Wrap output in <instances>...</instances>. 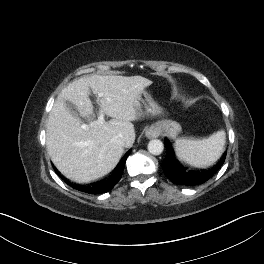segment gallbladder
<instances>
[{
    "label": "gallbladder",
    "instance_id": "bac80fb5",
    "mask_svg": "<svg viewBox=\"0 0 264 264\" xmlns=\"http://www.w3.org/2000/svg\"><path fill=\"white\" fill-rule=\"evenodd\" d=\"M65 105L67 106V108L70 110V112L75 115L78 116V111L75 107V105H73L71 102L69 101H65Z\"/></svg>",
    "mask_w": 264,
    "mask_h": 264
}]
</instances>
